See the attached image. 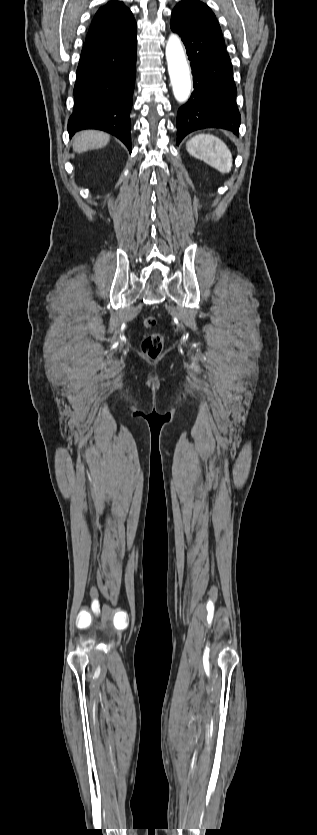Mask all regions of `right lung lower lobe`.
I'll list each match as a JSON object with an SVG mask.
<instances>
[{
    "mask_svg": "<svg viewBox=\"0 0 317 835\" xmlns=\"http://www.w3.org/2000/svg\"><path fill=\"white\" fill-rule=\"evenodd\" d=\"M136 34L117 44L97 39L83 45L74 86L70 138L99 129L119 138L131 152L130 111L136 75Z\"/></svg>",
    "mask_w": 317,
    "mask_h": 835,
    "instance_id": "98d812e1",
    "label": "right lung lower lobe"
}]
</instances>
